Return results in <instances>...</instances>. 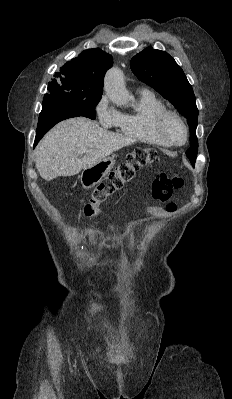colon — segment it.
<instances>
[{"label": "colon", "mask_w": 232, "mask_h": 399, "mask_svg": "<svg viewBox=\"0 0 232 399\" xmlns=\"http://www.w3.org/2000/svg\"><path fill=\"white\" fill-rule=\"evenodd\" d=\"M157 154L153 150H135L125 163H116L118 170L115 174H107L104 180H97V185L90 191L84 205L85 219L94 220L98 216L97 204L113 191H118L120 185H130L133 173L139 165H154ZM170 180H166V175H155V184L164 186H153L151 194H170L175 191V186L186 185V180H180V175H170ZM154 203H165V198H154ZM168 212H174L177 203H167Z\"/></svg>", "instance_id": "5ec220e1"}]
</instances>
